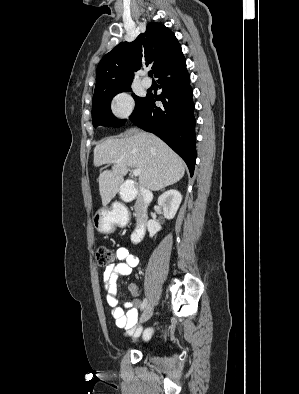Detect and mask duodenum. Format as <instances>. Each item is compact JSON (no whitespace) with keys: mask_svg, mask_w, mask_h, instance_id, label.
<instances>
[{"mask_svg":"<svg viewBox=\"0 0 299 394\" xmlns=\"http://www.w3.org/2000/svg\"><path fill=\"white\" fill-rule=\"evenodd\" d=\"M131 184L122 185L119 187V192L123 195L126 201H131L135 198L132 191ZM153 199V194L147 189H141L138 194V208H137V223L132 233V241L139 242L145 234L146 224L148 220L147 208Z\"/></svg>","mask_w":299,"mask_h":394,"instance_id":"410a0bca","label":"duodenum"}]
</instances>
